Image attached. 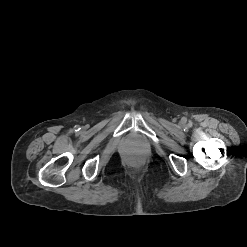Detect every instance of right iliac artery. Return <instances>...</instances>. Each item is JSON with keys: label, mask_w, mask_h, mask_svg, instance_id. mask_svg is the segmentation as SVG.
Segmentation results:
<instances>
[{"label": "right iliac artery", "mask_w": 247, "mask_h": 247, "mask_svg": "<svg viewBox=\"0 0 247 247\" xmlns=\"http://www.w3.org/2000/svg\"><path fill=\"white\" fill-rule=\"evenodd\" d=\"M79 126H75V131L80 130Z\"/></svg>", "instance_id": "82829eb1"}]
</instances>
